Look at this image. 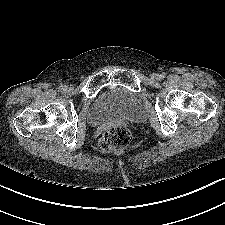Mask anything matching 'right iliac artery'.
Wrapping results in <instances>:
<instances>
[{
	"label": "right iliac artery",
	"mask_w": 225,
	"mask_h": 225,
	"mask_svg": "<svg viewBox=\"0 0 225 225\" xmlns=\"http://www.w3.org/2000/svg\"><path fill=\"white\" fill-rule=\"evenodd\" d=\"M64 90H65V85L61 84V85L59 86V91H60V92H63Z\"/></svg>",
	"instance_id": "1"
}]
</instances>
